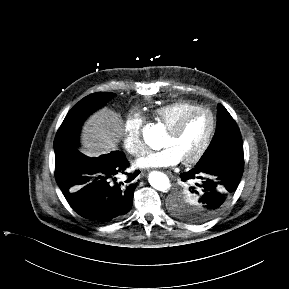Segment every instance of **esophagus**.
Wrapping results in <instances>:
<instances>
[{
    "label": "esophagus",
    "mask_w": 289,
    "mask_h": 289,
    "mask_svg": "<svg viewBox=\"0 0 289 289\" xmlns=\"http://www.w3.org/2000/svg\"><path fill=\"white\" fill-rule=\"evenodd\" d=\"M167 175L170 177H173V175L171 174V172H167Z\"/></svg>",
    "instance_id": "34e87169"
}]
</instances>
